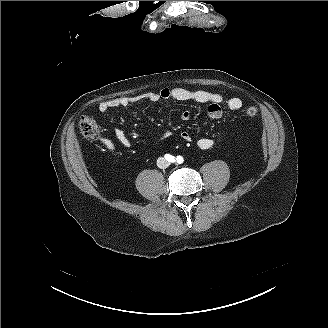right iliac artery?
Returning a JSON list of instances; mask_svg holds the SVG:
<instances>
[{"label":"right iliac artery","mask_w":328,"mask_h":328,"mask_svg":"<svg viewBox=\"0 0 328 328\" xmlns=\"http://www.w3.org/2000/svg\"><path fill=\"white\" fill-rule=\"evenodd\" d=\"M164 157L169 162H174L175 161V157L170 155V154H166Z\"/></svg>","instance_id":"82829eb1"}]
</instances>
